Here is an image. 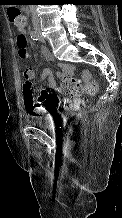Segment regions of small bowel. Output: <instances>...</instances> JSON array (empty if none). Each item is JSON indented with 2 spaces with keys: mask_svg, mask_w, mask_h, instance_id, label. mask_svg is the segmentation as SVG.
<instances>
[{
  "mask_svg": "<svg viewBox=\"0 0 122 218\" xmlns=\"http://www.w3.org/2000/svg\"><path fill=\"white\" fill-rule=\"evenodd\" d=\"M21 35L25 37L26 35L25 31L22 32ZM42 54L45 56V58L52 59V56L47 49H42ZM59 68L60 71L57 73V76L61 80L69 78L73 74V66H71L70 64L60 63ZM29 77L31 80L35 78V74L31 70L29 71ZM46 78L49 79L50 88L60 90V88L56 86V83L53 80L52 71L50 69H44L42 72L41 80H45ZM94 83L97 86L96 82ZM49 98H50V92L45 89L40 90L39 95L36 98L34 97V105L36 107L37 113L40 114L45 113L46 105L48 104ZM66 102L69 104H76V101L66 100Z\"/></svg>",
  "mask_w": 122,
  "mask_h": 218,
  "instance_id": "c3829d8e",
  "label": "small bowel"
}]
</instances>
